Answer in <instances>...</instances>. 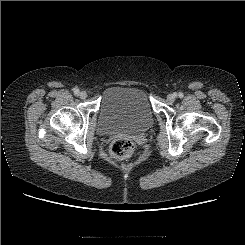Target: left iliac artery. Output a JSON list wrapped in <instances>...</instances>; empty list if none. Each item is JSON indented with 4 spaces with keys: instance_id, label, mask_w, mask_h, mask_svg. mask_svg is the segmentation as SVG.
Instances as JSON below:
<instances>
[{
    "instance_id": "obj_1",
    "label": "left iliac artery",
    "mask_w": 245,
    "mask_h": 245,
    "mask_svg": "<svg viewBox=\"0 0 245 245\" xmlns=\"http://www.w3.org/2000/svg\"><path fill=\"white\" fill-rule=\"evenodd\" d=\"M178 96L183 97V93L179 92Z\"/></svg>"
}]
</instances>
